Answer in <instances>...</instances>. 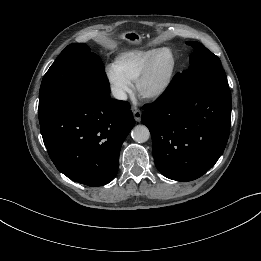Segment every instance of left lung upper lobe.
<instances>
[{"label":"left lung upper lobe","mask_w":261,"mask_h":261,"mask_svg":"<svg viewBox=\"0 0 261 261\" xmlns=\"http://www.w3.org/2000/svg\"><path fill=\"white\" fill-rule=\"evenodd\" d=\"M194 48L190 56V67L175 78V90L184 96L199 80L206 77H226L219 58L198 42H187Z\"/></svg>","instance_id":"obj_1"}]
</instances>
